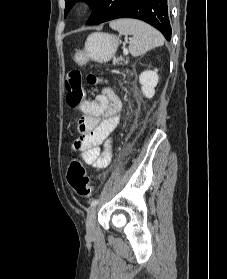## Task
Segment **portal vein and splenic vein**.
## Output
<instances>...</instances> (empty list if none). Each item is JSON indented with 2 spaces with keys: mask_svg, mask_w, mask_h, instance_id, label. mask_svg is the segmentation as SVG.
I'll use <instances>...</instances> for the list:
<instances>
[{
  "mask_svg": "<svg viewBox=\"0 0 227 279\" xmlns=\"http://www.w3.org/2000/svg\"><path fill=\"white\" fill-rule=\"evenodd\" d=\"M128 53H129V52H128V49L124 47V48H123V54L126 56V55H128Z\"/></svg>",
  "mask_w": 227,
  "mask_h": 279,
  "instance_id": "1",
  "label": "portal vein and splenic vein"
}]
</instances>
